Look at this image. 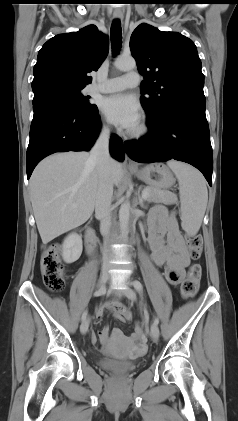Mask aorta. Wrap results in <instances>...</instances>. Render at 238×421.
Instances as JSON below:
<instances>
[{
  "instance_id": "762f6f07",
  "label": "aorta",
  "mask_w": 238,
  "mask_h": 421,
  "mask_svg": "<svg viewBox=\"0 0 238 421\" xmlns=\"http://www.w3.org/2000/svg\"><path fill=\"white\" fill-rule=\"evenodd\" d=\"M114 66L120 71H129L136 68V61L132 57L118 58L114 62ZM130 203L124 201L119 210V222L122 236L126 237L128 234V223L130 217Z\"/></svg>"
}]
</instances>
